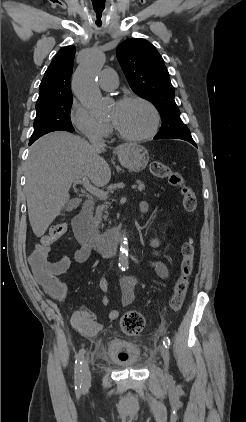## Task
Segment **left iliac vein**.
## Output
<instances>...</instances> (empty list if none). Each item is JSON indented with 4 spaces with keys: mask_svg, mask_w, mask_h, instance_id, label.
Masks as SVG:
<instances>
[{
    "mask_svg": "<svg viewBox=\"0 0 246 422\" xmlns=\"http://www.w3.org/2000/svg\"><path fill=\"white\" fill-rule=\"evenodd\" d=\"M160 353L164 361L165 368L167 370L169 366V352H168V349L163 344L160 345Z\"/></svg>",
    "mask_w": 246,
    "mask_h": 422,
    "instance_id": "1",
    "label": "left iliac vein"
}]
</instances>
